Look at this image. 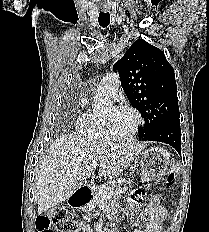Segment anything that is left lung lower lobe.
<instances>
[{
	"label": "left lung lower lobe",
	"instance_id": "0a47b994",
	"mask_svg": "<svg viewBox=\"0 0 209 232\" xmlns=\"http://www.w3.org/2000/svg\"><path fill=\"white\" fill-rule=\"evenodd\" d=\"M142 140V139H141ZM145 141L163 142L171 145L181 155V129L180 120L166 123L156 130Z\"/></svg>",
	"mask_w": 209,
	"mask_h": 232
}]
</instances>
